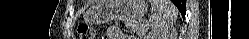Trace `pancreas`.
I'll use <instances>...</instances> for the list:
<instances>
[{"label":"pancreas","instance_id":"1","mask_svg":"<svg viewBox=\"0 0 249 39\" xmlns=\"http://www.w3.org/2000/svg\"><path fill=\"white\" fill-rule=\"evenodd\" d=\"M126 26L136 32L138 35H142L146 31L142 23L138 21H128L126 22Z\"/></svg>","mask_w":249,"mask_h":39}]
</instances>
